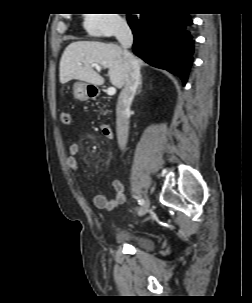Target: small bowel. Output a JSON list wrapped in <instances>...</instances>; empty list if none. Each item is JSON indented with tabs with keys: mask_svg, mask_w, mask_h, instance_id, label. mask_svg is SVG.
<instances>
[{
	"mask_svg": "<svg viewBox=\"0 0 252 303\" xmlns=\"http://www.w3.org/2000/svg\"><path fill=\"white\" fill-rule=\"evenodd\" d=\"M78 150L79 142L77 140L71 142L69 145V155L66 159V164L73 173H76L79 170V165L76 159ZM111 189L114 196L110 199H107L104 195L99 193L92 194V201L95 207L111 211L125 202L124 186L121 181L113 179L111 181Z\"/></svg>",
	"mask_w": 252,
	"mask_h": 303,
	"instance_id": "c3829d8e",
	"label": "small bowel"
}]
</instances>
